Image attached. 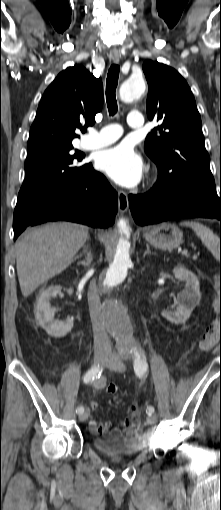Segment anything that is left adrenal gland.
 Returning a JSON list of instances; mask_svg holds the SVG:
<instances>
[{"label": "left adrenal gland", "instance_id": "obj_1", "mask_svg": "<svg viewBox=\"0 0 221 510\" xmlns=\"http://www.w3.org/2000/svg\"><path fill=\"white\" fill-rule=\"evenodd\" d=\"M148 254H155V253H153V252H151V251H150V247H149V245L147 244V245H146V251L144 252L143 257H145V256H146V255H148Z\"/></svg>", "mask_w": 221, "mask_h": 510}]
</instances>
